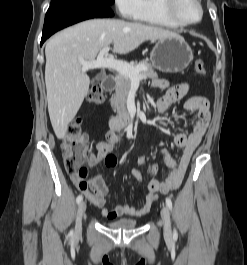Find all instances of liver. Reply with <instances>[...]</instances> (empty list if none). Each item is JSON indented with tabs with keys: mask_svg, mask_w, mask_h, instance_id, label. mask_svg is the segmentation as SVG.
I'll return each instance as SVG.
<instances>
[{
	"mask_svg": "<svg viewBox=\"0 0 247 265\" xmlns=\"http://www.w3.org/2000/svg\"><path fill=\"white\" fill-rule=\"evenodd\" d=\"M176 35L159 27L114 19L83 21L54 35L45 47V83L48 112L57 138L65 136L92 83L82 72V61L95 60L111 43L114 53L127 54L146 40Z\"/></svg>",
	"mask_w": 247,
	"mask_h": 265,
	"instance_id": "6515ba94",
	"label": "liver"
}]
</instances>
